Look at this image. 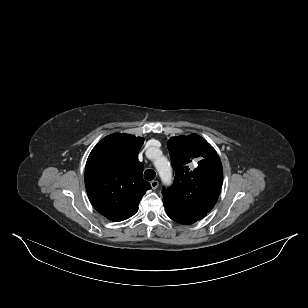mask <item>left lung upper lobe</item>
Listing matches in <instances>:
<instances>
[{
	"label": "left lung upper lobe",
	"mask_w": 308,
	"mask_h": 308,
	"mask_svg": "<svg viewBox=\"0 0 308 308\" xmlns=\"http://www.w3.org/2000/svg\"><path fill=\"white\" fill-rule=\"evenodd\" d=\"M173 185L163 189L167 215L180 224H193L212 210L219 197L223 169L215 149L201 136L172 137L167 142Z\"/></svg>",
	"instance_id": "5c2ea615"
}]
</instances>
